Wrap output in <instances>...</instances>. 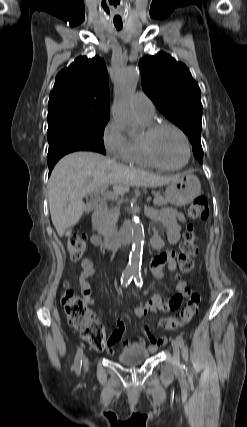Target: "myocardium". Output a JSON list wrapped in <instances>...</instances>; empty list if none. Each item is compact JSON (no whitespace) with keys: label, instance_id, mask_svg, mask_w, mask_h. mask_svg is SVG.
Wrapping results in <instances>:
<instances>
[{"label":"myocardium","instance_id":"obj_1","mask_svg":"<svg viewBox=\"0 0 247 427\" xmlns=\"http://www.w3.org/2000/svg\"><path fill=\"white\" fill-rule=\"evenodd\" d=\"M164 128H171L174 131H176L180 137L182 138L184 145H185V151H186V157L184 162L179 166H167L162 164L158 161L156 158L154 151H153V140L156 134L164 129ZM141 145L143 152L148 159V161L154 166L162 170L166 171H178L183 168H185L191 158V145L188 136L186 133L176 124L168 121H162V122H155L147 126L143 136L141 137Z\"/></svg>","mask_w":247,"mask_h":427}]
</instances>
